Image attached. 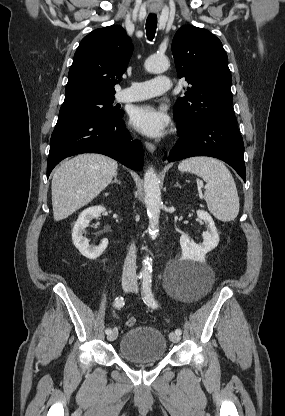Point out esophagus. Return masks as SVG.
Segmentation results:
<instances>
[{"label":"esophagus","mask_w":285,"mask_h":416,"mask_svg":"<svg viewBox=\"0 0 285 416\" xmlns=\"http://www.w3.org/2000/svg\"><path fill=\"white\" fill-rule=\"evenodd\" d=\"M145 147L150 153H153L156 150V146L153 143H150L149 141H145Z\"/></svg>","instance_id":"1"}]
</instances>
